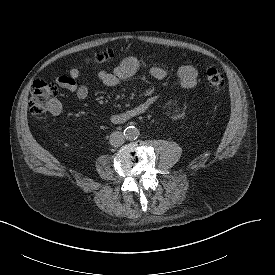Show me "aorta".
<instances>
[{
  "label": "aorta",
  "mask_w": 275,
  "mask_h": 275,
  "mask_svg": "<svg viewBox=\"0 0 275 275\" xmlns=\"http://www.w3.org/2000/svg\"><path fill=\"white\" fill-rule=\"evenodd\" d=\"M124 136L127 140H135L139 136V130L134 126H129L124 130Z\"/></svg>",
  "instance_id": "aorta-1"
}]
</instances>
